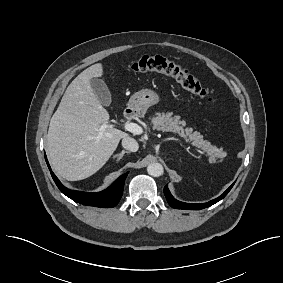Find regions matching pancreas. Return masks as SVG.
<instances>
[{"label": "pancreas", "mask_w": 283, "mask_h": 283, "mask_svg": "<svg viewBox=\"0 0 283 283\" xmlns=\"http://www.w3.org/2000/svg\"><path fill=\"white\" fill-rule=\"evenodd\" d=\"M151 123L153 129L177 133L186 142L192 143L194 146L211 153V155L222 156V150L204 140L199 132H193V129L189 127L184 128L185 121H181L179 116L172 117V113H156V116L151 118Z\"/></svg>", "instance_id": "1"}]
</instances>
